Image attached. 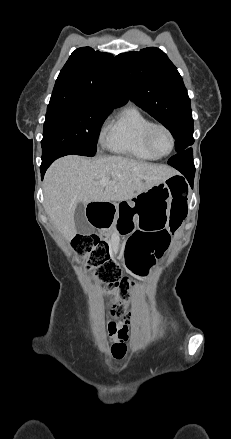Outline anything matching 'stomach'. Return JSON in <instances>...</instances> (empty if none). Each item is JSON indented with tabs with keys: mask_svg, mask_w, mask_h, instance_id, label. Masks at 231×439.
<instances>
[{
	"mask_svg": "<svg viewBox=\"0 0 231 439\" xmlns=\"http://www.w3.org/2000/svg\"><path fill=\"white\" fill-rule=\"evenodd\" d=\"M167 181L169 178L132 198L128 203V217L119 223L122 234L133 232L136 228L158 230L167 224L172 201Z\"/></svg>",
	"mask_w": 231,
	"mask_h": 439,
	"instance_id": "1",
	"label": "stomach"
}]
</instances>
